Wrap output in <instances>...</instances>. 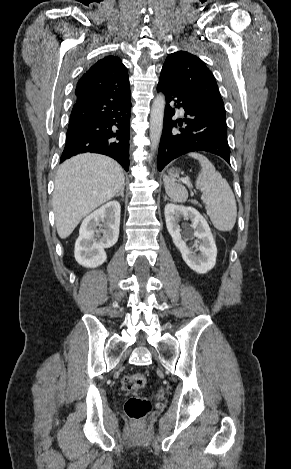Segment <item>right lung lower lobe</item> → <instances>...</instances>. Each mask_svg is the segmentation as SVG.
<instances>
[{
    "label": "right lung lower lobe",
    "instance_id": "1",
    "mask_svg": "<svg viewBox=\"0 0 291 469\" xmlns=\"http://www.w3.org/2000/svg\"><path fill=\"white\" fill-rule=\"evenodd\" d=\"M130 110V92L103 91L77 100L60 161L94 152L114 158L128 171Z\"/></svg>",
    "mask_w": 291,
    "mask_h": 469
}]
</instances>
